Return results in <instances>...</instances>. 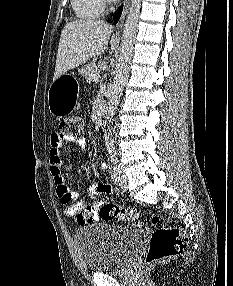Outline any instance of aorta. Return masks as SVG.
Here are the masks:
<instances>
[{"instance_id": "aorta-1", "label": "aorta", "mask_w": 233, "mask_h": 286, "mask_svg": "<svg viewBox=\"0 0 233 286\" xmlns=\"http://www.w3.org/2000/svg\"><path fill=\"white\" fill-rule=\"evenodd\" d=\"M140 8L141 0H132L129 13L124 24L121 51L115 68V77L113 81L110 106L108 110L109 117L107 119L109 125L112 124V116L114 115L119 105L123 87L128 78L129 63L133 55ZM108 129L111 131L109 126Z\"/></svg>"}]
</instances>
